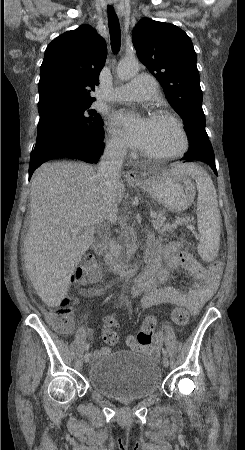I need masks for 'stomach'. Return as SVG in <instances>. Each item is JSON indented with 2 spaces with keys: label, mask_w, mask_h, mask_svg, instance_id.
I'll use <instances>...</instances> for the list:
<instances>
[{
  "label": "stomach",
  "mask_w": 245,
  "mask_h": 450,
  "mask_svg": "<svg viewBox=\"0 0 245 450\" xmlns=\"http://www.w3.org/2000/svg\"><path fill=\"white\" fill-rule=\"evenodd\" d=\"M183 166L152 171L146 180L136 184L166 210L184 211L194 202L196 189L189 175L183 172Z\"/></svg>",
  "instance_id": "obj_1"
}]
</instances>
